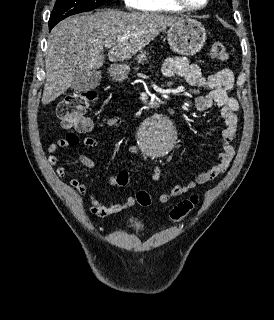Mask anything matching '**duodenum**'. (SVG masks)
<instances>
[{
    "label": "duodenum",
    "instance_id": "1",
    "mask_svg": "<svg viewBox=\"0 0 274 320\" xmlns=\"http://www.w3.org/2000/svg\"><path fill=\"white\" fill-rule=\"evenodd\" d=\"M160 103H161V101H158V100L155 102V104H160Z\"/></svg>",
    "mask_w": 274,
    "mask_h": 320
}]
</instances>
